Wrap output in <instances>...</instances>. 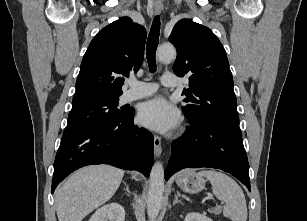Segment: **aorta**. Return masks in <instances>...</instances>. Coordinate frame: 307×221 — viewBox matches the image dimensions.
<instances>
[{"mask_svg":"<svg viewBox=\"0 0 307 221\" xmlns=\"http://www.w3.org/2000/svg\"><path fill=\"white\" fill-rule=\"evenodd\" d=\"M160 62L168 63L176 58V49L172 45H162L157 50ZM164 168L161 162L154 163L150 173L149 189L147 194V214L155 219L162 207L164 194Z\"/></svg>","mask_w":307,"mask_h":221,"instance_id":"aorta-1","label":"aorta"}]
</instances>
